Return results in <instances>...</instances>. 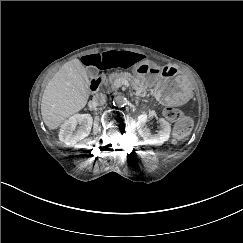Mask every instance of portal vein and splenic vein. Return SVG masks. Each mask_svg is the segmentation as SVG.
<instances>
[{"label": "portal vein and splenic vein", "instance_id": "18ae733b", "mask_svg": "<svg viewBox=\"0 0 243 243\" xmlns=\"http://www.w3.org/2000/svg\"><path fill=\"white\" fill-rule=\"evenodd\" d=\"M127 84V87H130V82L126 81L125 77H122V79H117L114 84L113 88H120L121 85Z\"/></svg>", "mask_w": 243, "mask_h": 243}]
</instances>
